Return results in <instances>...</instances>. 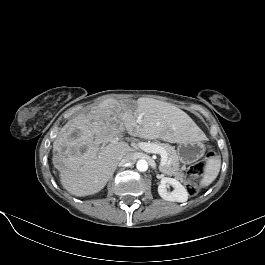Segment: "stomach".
I'll return each mask as SVG.
<instances>
[{
    "label": "stomach",
    "mask_w": 265,
    "mask_h": 265,
    "mask_svg": "<svg viewBox=\"0 0 265 265\" xmlns=\"http://www.w3.org/2000/svg\"><path fill=\"white\" fill-rule=\"evenodd\" d=\"M204 151L205 147L202 142L186 140L179 143L176 152L180 162L192 164L203 156Z\"/></svg>",
    "instance_id": "1"
}]
</instances>
